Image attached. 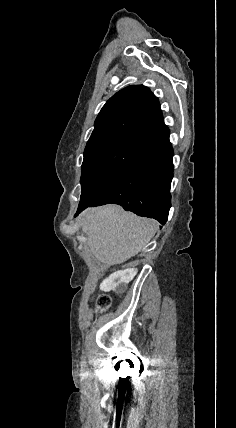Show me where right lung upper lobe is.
<instances>
[{
    "label": "right lung upper lobe",
    "instance_id": "1",
    "mask_svg": "<svg viewBox=\"0 0 236 428\" xmlns=\"http://www.w3.org/2000/svg\"><path fill=\"white\" fill-rule=\"evenodd\" d=\"M94 126L84 158L124 142H142L165 124L160 104L150 89L132 85L106 102Z\"/></svg>",
    "mask_w": 236,
    "mask_h": 428
}]
</instances>
